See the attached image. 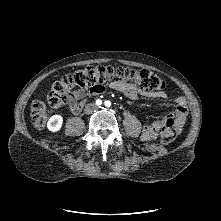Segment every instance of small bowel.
Instances as JSON below:
<instances>
[{"mask_svg":"<svg viewBox=\"0 0 221 221\" xmlns=\"http://www.w3.org/2000/svg\"><path fill=\"white\" fill-rule=\"evenodd\" d=\"M107 88L113 89L117 92L122 93L126 97L130 99H137L138 97H148V98H156L165 100L167 98V94L164 91H153L146 92L142 91L131 84H127L120 81H113L107 86H101L96 91H91L89 89H79L74 91L68 98L69 109L73 113H78L81 110V105L79 104V100H83L87 96H96L102 94ZM187 116V104L186 100L183 97H177L176 99V108L174 111L175 117V128L177 131L182 129L184 121ZM164 121L159 119L155 120L143 127L141 138L144 141L154 140L161 127L163 126Z\"/></svg>","mask_w":221,"mask_h":221,"instance_id":"obj_1","label":"small bowel"}]
</instances>
